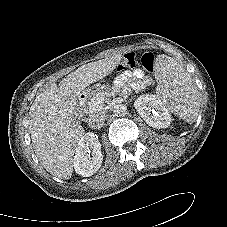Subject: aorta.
<instances>
[{
    "instance_id": "762f6f07",
    "label": "aorta",
    "mask_w": 227,
    "mask_h": 227,
    "mask_svg": "<svg viewBox=\"0 0 227 227\" xmlns=\"http://www.w3.org/2000/svg\"><path fill=\"white\" fill-rule=\"evenodd\" d=\"M126 112V106L124 104H116L113 107V113L117 116H122Z\"/></svg>"
}]
</instances>
